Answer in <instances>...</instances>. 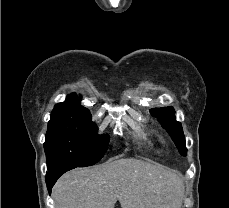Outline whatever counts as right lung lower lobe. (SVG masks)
Instances as JSON below:
<instances>
[{"label":"right lung lower lobe","instance_id":"98d812e1","mask_svg":"<svg viewBox=\"0 0 229 208\" xmlns=\"http://www.w3.org/2000/svg\"><path fill=\"white\" fill-rule=\"evenodd\" d=\"M75 167H65V168H61L55 172L52 173H47L46 174V184H47V189L49 191V194H51V189L54 186L55 182L57 181V179L64 174L65 172L74 169Z\"/></svg>","mask_w":229,"mask_h":208}]
</instances>
